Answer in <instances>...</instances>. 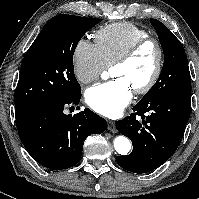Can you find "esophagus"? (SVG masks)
Listing matches in <instances>:
<instances>
[{
    "label": "esophagus",
    "mask_w": 199,
    "mask_h": 199,
    "mask_svg": "<svg viewBox=\"0 0 199 199\" xmlns=\"http://www.w3.org/2000/svg\"><path fill=\"white\" fill-rule=\"evenodd\" d=\"M107 129L110 131L115 130V122L112 120H107Z\"/></svg>",
    "instance_id": "obj_1"
}]
</instances>
